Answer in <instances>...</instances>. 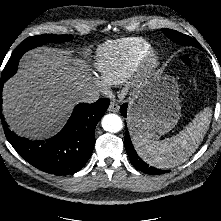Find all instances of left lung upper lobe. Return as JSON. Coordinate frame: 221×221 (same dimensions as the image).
I'll return each mask as SVG.
<instances>
[{"instance_id":"5c2ea615","label":"left lung upper lobe","mask_w":221,"mask_h":221,"mask_svg":"<svg viewBox=\"0 0 221 221\" xmlns=\"http://www.w3.org/2000/svg\"><path fill=\"white\" fill-rule=\"evenodd\" d=\"M162 31L168 38H170L172 41H174L177 44L194 46L199 49H202L197 41H195L193 38H191L185 34H182L178 31H175L172 29H162Z\"/></svg>"}]
</instances>
